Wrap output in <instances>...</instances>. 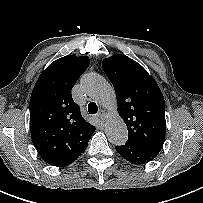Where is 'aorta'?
I'll return each mask as SVG.
<instances>
[{
    "label": "aorta",
    "instance_id": "obj_1",
    "mask_svg": "<svg viewBox=\"0 0 203 203\" xmlns=\"http://www.w3.org/2000/svg\"><path fill=\"white\" fill-rule=\"evenodd\" d=\"M84 92L103 108L111 111L106 123V135L110 143L124 145L128 138V129L116 112L117 100L113 87L99 74H86L81 82Z\"/></svg>",
    "mask_w": 203,
    "mask_h": 203
}]
</instances>
